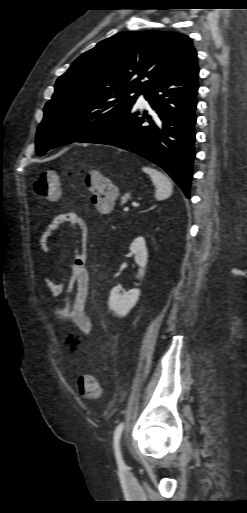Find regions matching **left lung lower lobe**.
Returning <instances> with one entry per match:
<instances>
[{
	"label": "left lung lower lobe",
	"mask_w": 247,
	"mask_h": 513,
	"mask_svg": "<svg viewBox=\"0 0 247 513\" xmlns=\"http://www.w3.org/2000/svg\"><path fill=\"white\" fill-rule=\"evenodd\" d=\"M197 56L173 77L148 90L144 97L153 115L134 105L110 124L76 142L116 146L162 167L189 198L195 156V109L198 91Z\"/></svg>",
	"instance_id": "left-lung-lower-lobe-1"
}]
</instances>
